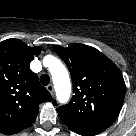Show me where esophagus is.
Segmentation results:
<instances>
[{
  "instance_id": "34e87169",
  "label": "esophagus",
  "mask_w": 136,
  "mask_h": 136,
  "mask_svg": "<svg viewBox=\"0 0 136 136\" xmlns=\"http://www.w3.org/2000/svg\"><path fill=\"white\" fill-rule=\"evenodd\" d=\"M46 88L50 92V94L53 96L54 95V86L52 84H49Z\"/></svg>"
}]
</instances>
